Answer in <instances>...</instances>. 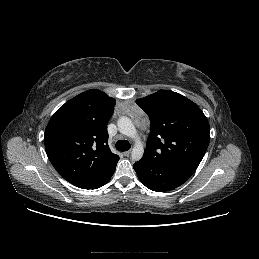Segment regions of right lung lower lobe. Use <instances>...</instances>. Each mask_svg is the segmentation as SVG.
<instances>
[{
	"label": "right lung lower lobe",
	"mask_w": 259,
	"mask_h": 259,
	"mask_svg": "<svg viewBox=\"0 0 259 259\" xmlns=\"http://www.w3.org/2000/svg\"><path fill=\"white\" fill-rule=\"evenodd\" d=\"M114 171L111 174H109L107 177H105L104 179L100 180L99 182H97V183H95L91 186L85 187L83 189H97V188H100L101 186L105 185L106 183H108L110 181L112 175L114 174Z\"/></svg>",
	"instance_id": "obj_1"
}]
</instances>
